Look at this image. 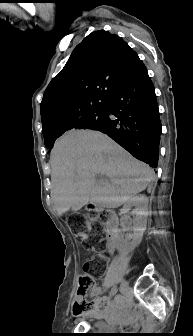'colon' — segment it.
Returning a JSON list of instances; mask_svg holds the SVG:
<instances>
[{"instance_id":"1","label":"colon","mask_w":193,"mask_h":336,"mask_svg":"<svg viewBox=\"0 0 193 336\" xmlns=\"http://www.w3.org/2000/svg\"><path fill=\"white\" fill-rule=\"evenodd\" d=\"M102 222V215L95 212H91L88 215L74 213L68 219L69 227L75 231L77 237L84 241L86 245L90 244V239H94L100 245L104 243L105 233ZM90 266L89 262H85L83 264L84 273L79 277L76 292L77 298L73 305V314L76 317L100 307L98 299L86 298V294L95 286L94 277L88 273Z\"/></svg>"}]
</instances>
